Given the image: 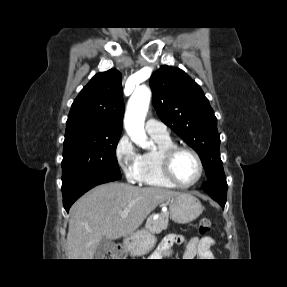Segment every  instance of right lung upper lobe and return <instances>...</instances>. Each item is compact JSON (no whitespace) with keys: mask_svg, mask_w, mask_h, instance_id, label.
<instances>
[{"mask_svg":"<svg viewBox=\"0 0 287 287\" xmlns=\"http://www.w3.org/2000/svg\"><path fill=\"white\" fill-rule=\"evenodd\" d=\"M121 81L116 69L96 74L74 100L66 131L86 126L97 133H121L124 115Z\"/></svg>","mask_w":287,"mask_h":287,"instance_id":"cb5924a9","label":"right lung upper lobe"}]
</instances>
